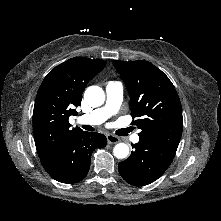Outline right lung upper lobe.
<instances>
[{"mask_svg": "<svg viewBox=\"0 0 221 221\" xmlns=\"http://www.w3.org/2000/svg\"><path fill=\"white\" fill-rule=\"evenodd\" d=\"M105 64L103 60L75 57L55 67L44 78L33 111L34 139L40 158L84 132L80 128L71 129L68 118L76 113L73 108L81 104L87 83Z\"/></svg>", "mask_w": 221, "mask_h": 221, "instance_id": "1", "label": "right lung upper lobe"}]
</instances>
